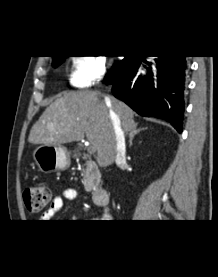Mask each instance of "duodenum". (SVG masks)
<instances>
[{"label": "duodenum", "instance_id": "obj_1", "mask_svg": "<svg viewBox=\"0 0 218 277\" xmlns=\"http://www.w3.org/2000/svg\"><path fill=\"white\" fill-rule=\"evenodd\" d=\"M93 201L96 205L105 207L108 205L110 196L108 190L104 188H97L92 193Z\"/></svg>", "mask_w": 218, "mask_h": 277}]
</instances>
